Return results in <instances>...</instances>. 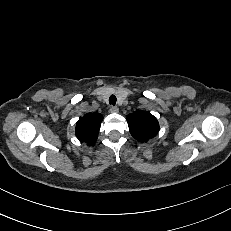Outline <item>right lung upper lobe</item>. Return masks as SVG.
Returning <instances> with one entry per match:
<instances>
[{
    "label": "right lung upper lobe",
    "instance_id": "cb5924a9",
    "mask_svg": "<svg viewBox=\"0 0 231 231\" xmlns=\"http://www.w3.org/2000/svg\"><path fill=\"white\" fill-rule=\"evenodd\" d=\"M102 119L99 113L84 115L76 124V137L89 145L93 144L97 140Z\"/></svg>",
    "mask_w": 231,
    "mask_h": 231
}]
</instances>
